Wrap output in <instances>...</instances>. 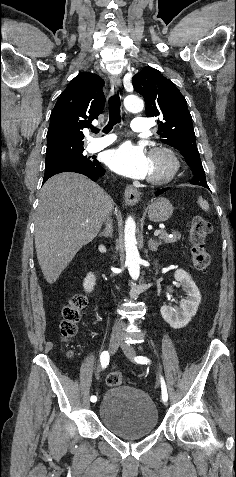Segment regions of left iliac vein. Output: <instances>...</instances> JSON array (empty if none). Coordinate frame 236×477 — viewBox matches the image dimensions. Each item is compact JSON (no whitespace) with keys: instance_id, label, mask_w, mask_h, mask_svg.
Instances as JSON below:
<instances>
[{"instance_id":"4c4485c4","label":"left iliac vein","mask_w":236,"mask_h":477,"mask_svg":"<svg viewBox=\"0 0 236 477\" xmlns=\"http://www.w3.org/2000/svg\"><path fill=\"white\" fill-rule=\"evenodd\" d=\"M121 347L125 353V355L133 361L134 357L136 356L135 349L132 345L126 344V343H121ZM162 406L166 409L169 406V403L167 401H164L162 403Z\"/></svg>"}]
</instances>
